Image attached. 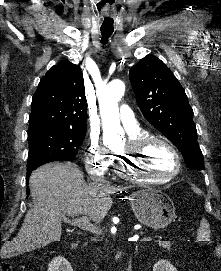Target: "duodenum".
I'll return each mask as SVG.
<instances>
[{"mask_svg": "<svg viewBox=\"0 0 221 271\" xmlns=\"http://www.w3.org/2000/svg\"><path fill=\"white\" fill-rule=\"evenodd\" d=\"M75 247H76V243H73V244H72V248H75ZM121 256H122V253H121V252H118V253L115 255L114 260H115L116 262H118V261L121 259Z\"/></svg>", "mask_w": 221, "mask_h": 271, "instance_id": "1", "label": "duodenum"}]
</instances>
